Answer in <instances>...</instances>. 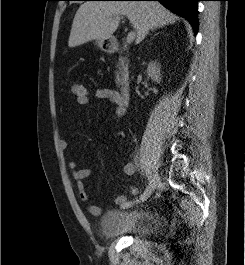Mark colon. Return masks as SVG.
Segmentation results:
<instances>
[{
  "label": "colon",
  "mask_w": 245,
  "mask_h": 265,
  "mask_svg": "<svg viewBox=\"0 0 245 265\" xmlns=\"http://www.w3.org/2000/svg\"><path fill=\"white\" fill-rule=\"evenodd\" d=\"M72 94L80 106L88 105L90 101V92L88 87L82 83H76L72 86Z\"/></svg>",
  "instance_id": "5ec220e1"
}]
</instances>
